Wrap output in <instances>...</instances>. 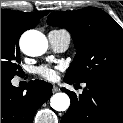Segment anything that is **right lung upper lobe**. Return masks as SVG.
Instances as JSON below:
<instances>
[{"label": "right lung upper lobe", "instance_id": "obj_1", "mask_svg": "<svg viewBox=\"0 0 123 123\" xmlns=\"http://www.w3.org/2000/svg\"><path fill=\"white\" fill-rule=\"evenodd\" d=\"M47 14V11L24 13L8 9L1 10V18H8L15 21L18 24V27L22 33L28 29L35 27L39 23V19Z\"/></svg>", "mask_w": 123, "mask_h": 123}]
</instances>
